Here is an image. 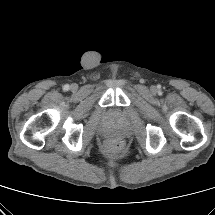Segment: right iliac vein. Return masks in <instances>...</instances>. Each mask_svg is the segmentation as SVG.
Returning a JSON list of instances; mask_svg holds the SVG:
<instances>
[{
    "label": "right iliac vein",
    "mask_w": 215,
    "mask_h": 215,
    "mask_svg": "<svg viewBox=\"0 0 215 215\" xmlns=\"http://www.w3.org/2000/svg\"><path fill=\"white\" fill-rule=\"evenodd\" d=\"M71 89H72V90H76V89H77V85H76V84H72V85H71Z\"/></svg>",
    "instance_id": "right-iliac-vein-1"
}]
</instances>
